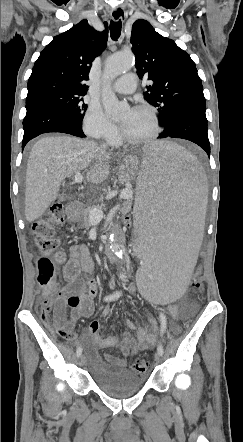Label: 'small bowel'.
I'll use <instances>...</instances> for the list:
<instances>
[{
	"mask_svg": "<svg viewBox=\"0 0 243 442\" xmlns=\"http://www.w3.org/2000/svg\"><path fill=\"white\" fill-rule=\"evenodd\" d=\"M93 273L94 261L88 247L84 244L73 245L70 248V258L63 269L67 284L58 293L55 301L56 312H65L66 308H70V318L67 320L69 337H73V329L80 318H90L94 313L97 287L92 278ZM108 311V308H105L103 312L107 314ZM169 312L173 318H177L179 315L175 306H171ZM146 323L149 327H137L133 321L127 320V328L130 330L137 329V334L133 336L126 332L120 338L118 336H101L99 332L100 322L96 319L92 320L89 325L91 341L88 354L90 359L95 363L100 361L98 349L116 348L120 350L121 356L108 355L106 359L120 368H125L127 365L126 358L129 355L151 348L156 342L155 321L148 319ZM83 340L87 341L88 336L84 335Z\"/></svg>",
	"mask_w": 243,
	"mask_h": 442,
	"instance_id": "obj_1",
	"label": "small bowel"
}]
</instances>
